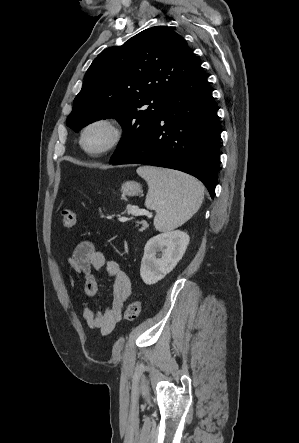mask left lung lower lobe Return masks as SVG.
<instances>
[{
  "instance_id": "obj_1",
  "label": "left lung lower lobe",
  "mask_w": 299,
  "mask_h": 443,
  "mask_svg": "<svg viewBox=\"0 0 299 443\" xmlns=\"http://www.w3.org/2000/svg\"><path fill=\"white\" fill-rule=\"evenodd\" d=\"M220 128L206 75L199 65L172 92L155 124L112 165L147 164L198 178L213 198Z\"/></svg>"
}]
</instances>
